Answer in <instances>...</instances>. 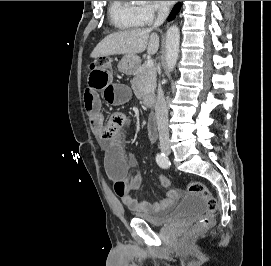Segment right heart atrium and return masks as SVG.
<instances>
[{
    "label": "right heart atrium",
    "instance_id": "obj_1",
    "mask_svg": "<svg viewBox=\"0 0 271 266\" xmlns=\"http://www.w3.org/2000/svg\"><path fill=\"white\" fill-rule=\"evenodd\" d=\"M162 6L156 2H149L137 7L138 15L142 24H150L163 12Z\"/></svg>",
    "mask_w": 271,
    "mask_h": 266
}]
</instances>
